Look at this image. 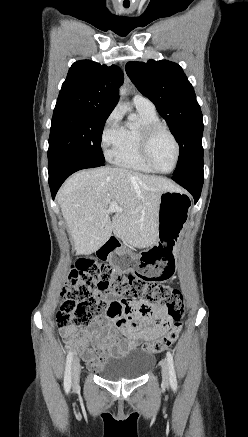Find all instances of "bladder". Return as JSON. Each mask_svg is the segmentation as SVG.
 I'll return each mask as SVG.
<instances>
[{
  "label": "bladder",
  "mask_w": 248,
  "mask_h": 437,
  "mask_svg": "<svg viewBox=\"0 0 248 437\" xmlns=\"http://www.w3.org/2000/svg\"><path fill=\"white\" fill-rule=\"evenodd\" d=\"M154 361L152 354L132 350L110 360L100 371V376L108 381L135 380L144 376Z\"/></svg>",
  "instance_id": "1"
}]
</instances>
